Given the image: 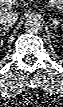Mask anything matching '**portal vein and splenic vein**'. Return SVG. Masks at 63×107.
Instances as JSON below:
<instances>
[{
	"instance_id": "1",
	"label": "portal vein and splenic vein",
	"mask_w": 63,
	"mask_h": 107,
	"mask_svg": "<svg viewBox=\"0 0 63 107\" xmlns=\"http://www.w3.org/2000/svg\"><path fill=\"white\" fill-rule=\"evenodd\" d=\"M6 1H8L10 4H12V1H11V0H6Z\"/></svg>"
}]
</instances>
